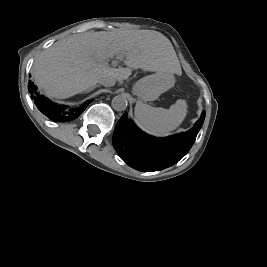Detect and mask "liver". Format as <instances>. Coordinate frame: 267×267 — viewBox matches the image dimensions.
Segmentation results:
<instances>
[{
	"instance_id": "1",
	"label": "liver",
	"mask_w": 267,
	"mask_h": 267,
	"mask_svg": "<svg viewBox=\"0 0 267 267\" xmlns=\"http://www.w3.org/2000/svg\"><path fill=\"white\" fill-rule=\"evenodd\" d=\"M122 55L126 68L107 60ZM123 60V59H122ZM179 74L180 62L168 38L153 30L86 32L55 42L36 58L32 73L48 96L65 99L88 90L102 77L119 83L132 69Z\"/></svg>"
}]
</instances>
